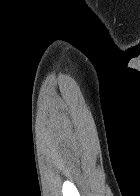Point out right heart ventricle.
<instances>
[{"instance_id": "right-heart-ventricle-1", "label": "right heart ventricle", "mask_w": 140, "mask_h": 196, "mask_svg": "<svg viewBox=\"0 0 140 196\" xmlns=\"http://www.w3.org/2000/svg\"><path fill=\"white\" fill-rule=\"evenodd\" d=\"M96 192H107V191H96Z\"/></svg>"}]
</instances>
